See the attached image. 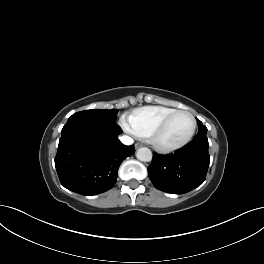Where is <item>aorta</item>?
I'll list each match as a JSON object with an SVG mask.
<instances>
[{
	"label": "aorta",
	"mask_w": 264,
	"mask_h": 264,
	"mask_svg": "<svg viewBox=\"0 0 264 264\" xmlns=\"http://www.w3.org/2000/svg\"><path fill=\"white\" fill-rule=\"evenodd\" d=\"M152 152L149 148L142 147L139 148L136 152V157L138 160L143 162H149L152 160Z\"/></svg>",
	"instance_id": "762f6f07"
}]
</instances>
